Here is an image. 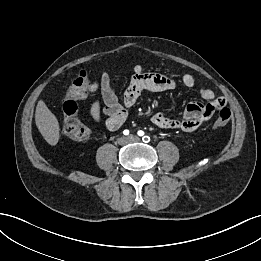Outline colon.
<instances>
[{"mask_svg":"<svg viewBox=\"0 0 261 261\" xmlns=\"http://www.w3.org/2000/svg\"><path fill=\"white\" fill-rule=\"evenodd\" d=\"M99 87L98 82H91L85 70L79 71L77 77L63 100V132L72 140L82 141L89 137L90 129L84 125L78 117L77 95L80 92H93ZM231 120V111L228 107L219 110L218 117L213 124V128H221Z\"/></svg>","mask_w":261,"mask_h":261,"instance_id":"colon-1","label":"colon"}]
</instances>
